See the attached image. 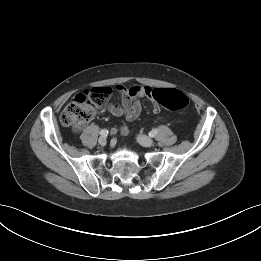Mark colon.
Instances as JSON below:
<instances>
[{
  "label": "colon",
  "mask_w": 261,
  "mask_h": 261,
  "mask_svg": "<svg viewBox=\"0 0 261 261\" xmlns=\"http://www.w3.org/2000/svg\"><path fill=\"white\" fill-rule=\"evenodd\" d=\"M111 94L108 87H96L78 94L62 111V124L74 131H80L107 103ZM152 99L158 107L160 105L171 111L184 109L189 104L188 96L177 89H154ZM109 133L116 136L119 130L112 127Z\"/></svg>",
  "instance_id": "1"
}]
</instances>
